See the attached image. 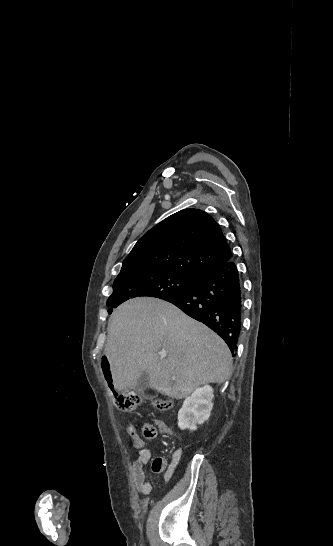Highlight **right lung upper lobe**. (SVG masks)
Masks as SVG:
<instances>
[{"mask_svg": "<svg viewBox=\"0 0 333 546\" xmlns=\"http://www.w3.org/2000/svg\"><path fill=\"white\" fill-rule=\"evenodd\" d=\"M231 259L215 220L202 210L184 209L149 230L123 261L121 272H173L200 278Z\"/></svg>", "mask_w": 333, "mask_h": 546, "instance_id": "1", "label": "right lung upper lobe"}]
</instances>
